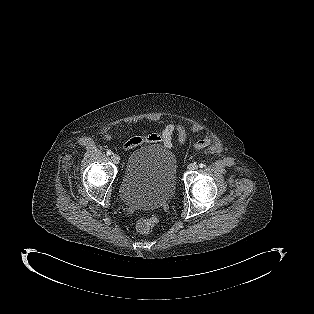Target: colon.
<instances>
[{"instance_id":"colon-1","label":"colon","mask_w":314,"mask_h":314,"mask_svg":"<svg viewBox=\"0 0 314 314\" xmlns=\"http://www.w3.org/2000/svg\"><path fill=\"white\" fill-rule=\"evenodd\" d=\"M158 223V219L154 216L142 217L137 224V228L142 234H150Z\"/></svg>"}]
</instances>
